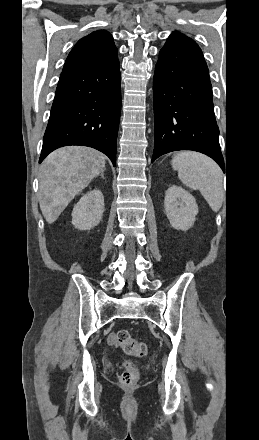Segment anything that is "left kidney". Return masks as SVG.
<instances>
[{"instance_id":"obj_1","label":"left kidney","mask_w":259,"mask_h":440,"mask_svg":"<svg viewBox=\"0 0 259 440\" xmlns=\"http://www.w3.org/2000/svg\"><path fill=\"white\" fill-rule=\"evenodd\" d=\"M165 215L176 230L186 231L191 228L198 214L195 198L182 187L172 185L165 192Z\"/></svg>"}]
</instances>
